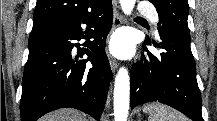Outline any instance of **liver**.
<instances>
[{
    "label": "liver",
    "instance_id": "1",
    "mask_svg": "<svg viewBox=\"0 0 217 121\" xmlns=\"http://www.w3.org/2000/svg\"><path fill=\"white\" fill-rule=\"evenodd\" d=\"M40 121H85V118L81 112L66 108L45 115Z\"/></svg>",
    "mask_w": 217,
    "mask_h": 121
}]
</instances>
